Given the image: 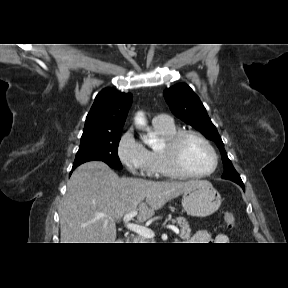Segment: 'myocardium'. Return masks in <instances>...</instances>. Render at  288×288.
Segmentation results:
<instances>
[{
    "label": "myocardium",
    "instance_id": "obj_1",
    "mask_svg": "<svg viewBox=\"0 0 288 288\" xmlns=\"http://www.w3.org/2000/svg\"><path fill=\"white\" fill-rule=\"evenodd\" d=\"M188 138L198 139L210 150L214 158V165L210 171L206 173H192L184 167L181 160V149L183 143ZM162 154L170 169L178 176L185 178L201 179L209 177L216 172L219 165L218 153L211 142L199 132L192 130L178 131L173 137L164 143Z\"/></svg>",
    "mask_w": 288,
    "mask_h": 288
}]
</instances>
